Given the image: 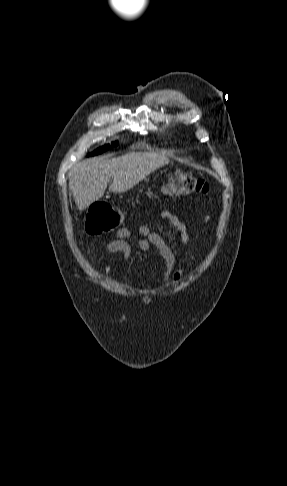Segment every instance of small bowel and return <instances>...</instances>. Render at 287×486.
Instances as JSON below:
<instances>
[{
  "label": "small bowel",
  "instance_id": "c3829d8e",
  "mask_svg": "<svg viewBox=\"0 0 287 486\" xmlns=\"http://www.w3.org/2000/svg\"><path fill=\"white\" fill-rule=\"evenodd\" d=\"M159 215L179 231L180 241L183 246L182 257L185 258L186 247L190 241L186 225L172 211L163 210ZM129 241H133L143 252H148L151 247L157 249L164 261L163 279L165 282L168 281L170 276L174 283H178L181 280L183 271L181 268L174 270L176 258L173 251L162 236L147 225L140 226L137 232H133L127 228L119 229L115 234V238L106 245V251L109 254H121L123 259L128 261L132 251Z\"/></svg>",
  "mask_w": 287,
  "mask_h": 486
}]
</instances>
